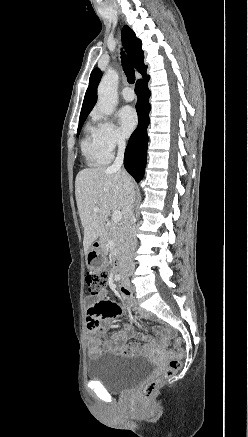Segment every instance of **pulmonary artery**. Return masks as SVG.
<instances>
[{"label":"pulmonary artery","instance_id":"e3ab8cb5","mask_svg":"<svg viewBox=\"0 0 248 437\" xmlns=\"http://www.w3.org/2000/svg\"><path fill=\"white\" fill-rule=\"evenodd\" d=\"M122 96L126 101H132L134 99L133 90L129 87H125L122 90Z\"/></svg>","mask_w":248,"mask_h":437}]
</instances>
